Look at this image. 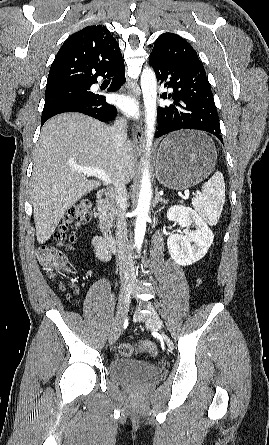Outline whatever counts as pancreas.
Masks as SVG:
<instances>
[{"instance_id":"pancreas-1","label":"pancreas","mask_w":269,"mask_h":445,"mask_svg":"<svg viewBox=\"0 0 269 445\" xmlns=\"http://www.w3.org/2000/svg\"><path fill=\"white\" fill-rule=\"evenodd\" d=\"M118 215V210L112 202H108L101 210V217L105 219L109 225L113 223L114 218Z\"/></svg>"}]
</instances>
